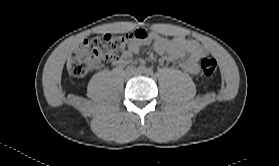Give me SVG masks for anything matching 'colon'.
I'll return each mask as SVG.
<instances>
[{"instance_id":"obj_1","label":"colon","mask_w":279,"mask_h":166,"mask_svg":"<svg viewBox=\"0 0 279 166\" xmlns=\"http://www.w3.org/2000/svg\"><path fill=\"white\" fill-rule=\"evenodd\" d=\"M145 37L137 30L128 34H102L85 40L74 52L69 63V71L74 77H84L96 70L103 62H116L123 58L128 47ZM200 69L207 77L217 72V62L210 57L200 60Z\"/></svg>"}]
</instances>
